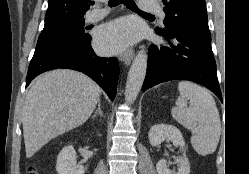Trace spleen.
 <instances>
[{
	"instance_id": "obj_1",
	"label": "spleen",
	"mask_w": 249,
	"mask_h": 174,
	"mask_svg": "<svg viewBox=\"0 0 249 174\" xmlns=\"http://www.w3.org/2000/svg\"><path fill=\"white\" fill-rule=\"evenodd\" d=\"M178 91L180 95L171 110L172 117L191 130V144L199 155L214 153L220 139L221 122L213 97L206 89L189 81L179 82Z\"/></svg>"
}]
</instances>
